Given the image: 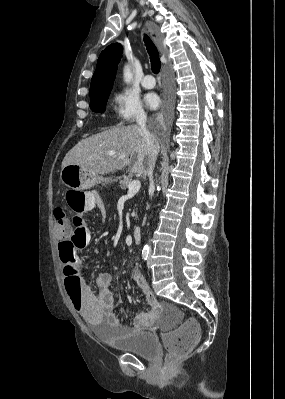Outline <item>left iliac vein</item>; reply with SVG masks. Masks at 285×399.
<instances>
[{
	"label": "left iliac vein",
	"mask_w": 285,
	"mask_h": 399,
	"mask_svg": "<svg viewBox=\"0 0 285 399\" xmlns=\"http://www.w3.org/2000/svg\"><path fill=\"white\" fill-rule=\"evenodd\" d=\"M151 254H152V251L150 252V254H149V259H148V261H147V266H148V268H150V264H151Z\"/></svg>",
	"instance_id": "4c4485c4"
}]
</instances>
